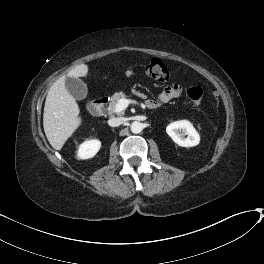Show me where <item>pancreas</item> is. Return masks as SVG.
Listing matches in <instances>:
<instances>
[{
    "mask_svg": "<svg viewBox=\"0 0 264 264\" xmlns=\"http://www.w3.org/2000/svg\"><path fill=\"white\" fill-rule=\"evenodd\" d=\"M127 96L125 95V93L123 92H117L115 94H113V96L111 97V101L109 103V107H108V112L111 114V113H114L115 111V106L116 104L118 103V101L121 99V98H126ZM118 114H121V112H118Z\"/></svg>",
    "mask_w": 264,
    "mask_h": 264,
    "instance_id": "cf45deb5",
    "label": "pancreas"
}]
</instances>
